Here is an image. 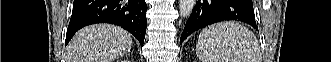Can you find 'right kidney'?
Segmentation results:
<instances>
[{
	"label": "right kidney",
	"mask_w": 331,
	"mask_h": 62,
	"mask_svg": "<svg viewBox=\"0 0 331 62\" xmlns=\"http://www.w3.org/2000/svg\"><path fill=\"white\" fill-rule=\"evenodd\" d=\"M124 62H129V60H124Z\"/></svg>",
	"instance_id": "ca27d5eb"
}]
</instances>
